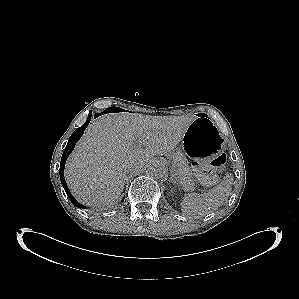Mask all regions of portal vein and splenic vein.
<instances>
[{"mask_svg": "<svg viewBox=\"0 0 299 299\" xmlns=\"http://www.w3.org/2000/svg\"><path fill=\"white\" fill-rule=\"evenodd\" d=\"M141 144H142V142L139 140V141L137 142V145H136V147H140V146H141Z\"/></svg>", "mask_w": 299, "mask_h": 299, "instance_id": "1", "label": "portal vein and splenic vein"}]
</instances>
